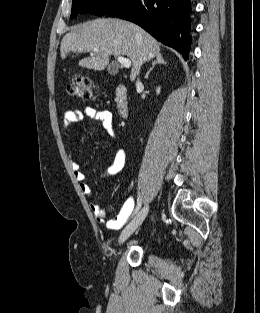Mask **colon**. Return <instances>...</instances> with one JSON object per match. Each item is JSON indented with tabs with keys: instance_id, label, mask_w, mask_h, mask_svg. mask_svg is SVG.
I'll return each mask as SVG.
<instances>
[{
	"instance_id": "1",
	"label": "colon",
	"mask_w": 260,
	"mask_h": 313,
	"mask_svg": "<svg viewBox=\"0 0 260 313\" xmlns=\"http://www.w3.org/2000/svg\"><path fill=\"white\" fill-rule=\"evenodd\" d=\"M97 87L93 82L83 76H75L66 86V93L69 96L90 100L95 97Z\"/></svg>"
}]
</instances>
